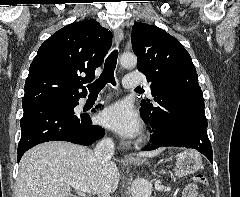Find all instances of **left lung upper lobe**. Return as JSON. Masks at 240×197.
<instances>
[{
    "label": "left lung upper lobe",
    "mask_w": 240,
    "mask_h": 197,
    "mask_svg": "<svg viewBox=\"0 0 240 197\" xmlns=\"http://www.w3.org/2000/svg\"><path fill=\"white\" fill-rule=\"evenodd\" d=\"M131 39L138 70L151 83L154 101L158 103L155 107L143 100L141 112L150 115L173 106L185 95L204 99L192 59L176 38L156 26L135 23Z\"/></svg>",
    "instance_id": "1"
}]
</instances>
